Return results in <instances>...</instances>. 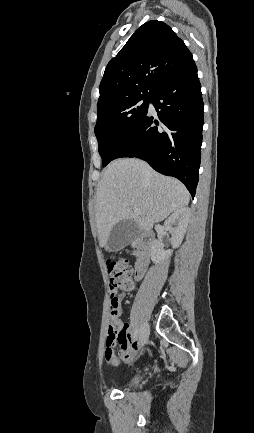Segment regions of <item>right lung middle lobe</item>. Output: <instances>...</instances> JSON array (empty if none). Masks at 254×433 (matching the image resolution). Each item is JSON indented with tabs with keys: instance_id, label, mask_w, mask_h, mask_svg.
Here are the masks:
<instances>
[{
	"instance_id": "dd1d6c3e",
	"label": "right lung middle lobe",
	"mask_w": 254,
	"mask_h": 433,
	"mask_svg": "<svg viewBox=\"0 0 254 433\" xmlns=\"http://www.w3.org/2000/svg\"><path fill=\"white\" fill-rule=\"evenodd\" d=\"M151 98L132 99L97 111L95 134L105 167L148 111Z\"/></svg>"
}]
</instances>
